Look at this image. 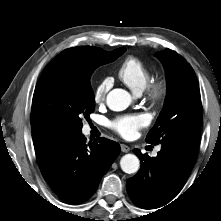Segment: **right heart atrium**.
Masks as SVG:
<instances>
[{
	"label": "right heart atrium",
	"instance_id": "right-heart-atrium-1",
	"mask_svg": "<svg viewBox=\"0 0 221 221\" xmlns=\"http://www.w3.org/2000/svg\"><path fill=\"white\" fill-rule=\"evenodd\" d=\"M112 86V79L106 77L102 79L95 87L93 92V99L95 103L101 104L105 101L108 91Z\"/></svg>",
	"mask_w": 221,
	"mask_h": 221
}]
</instances>
